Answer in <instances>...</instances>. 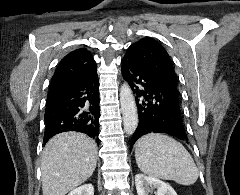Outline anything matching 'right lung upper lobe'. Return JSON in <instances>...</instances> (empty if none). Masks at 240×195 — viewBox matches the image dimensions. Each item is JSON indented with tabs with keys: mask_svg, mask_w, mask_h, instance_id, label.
Here are the masks:
<instances>
[{
	"mask_svg": "<svg viewBox=\"0 0 240 195\" xmlns=\"http://www.w3.org/2000/svg\"><path fill=\"white\" fill-rule=\"evenodd\" d=\"M95 72L96 62L92 55L86 49H77L61 60L51 83L79 81Z\"/></svg>",
	"mask_w": 240,
	"mask_h": 195,
	"instance_id": "right-lung-upper-lobe-1",
	"label": "right lung upper lobe"
}]
</instances>
